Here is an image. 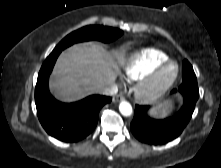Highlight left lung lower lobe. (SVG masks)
Segmentation results:
<instances>
[{"instance_id": "0a47b994", "label": "left lung lower lobe", "mask_w": 221, "mask_h": 168, "mask_svg": "<svg viewBox=\"0 0 221 168\" xmlns=\"http://www.w3.org/2000/svg\"><path fill=\"white\" fill-rule=\"evenodd\" d=\"M173 92L175 93L176 90ZM178 92L182 94L184 104L175 115L165 119L151 118L147 114L148 106H135L130 128L139 141L152 145L166 144L182 133L192 117L199 98L197 80L193 78L183 80Z\"/></svg>"}]
</instances>
